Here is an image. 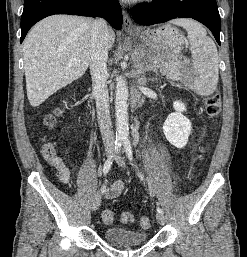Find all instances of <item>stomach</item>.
Returning <instances> with one entry per match:
<instances>
[{"label":"stomach","instance_id":"stomach-1","mask_svg":"<svg viewBox=\"0 0 247 257\" xmlns=\"http://www.w3.org/2000/svg\"><path fill=\"white\" fill-rule=\"evenodd\" d=\"M131 36L137 42L132 57L140 69L171 66L175 71L168 76L170 79L179 80L188 88L194 87L193 69L180 63L185 38L177 28L164 25L153 30H141Z\"/></svg>","mask_w":247,"mask_h":257}]
</instances>
